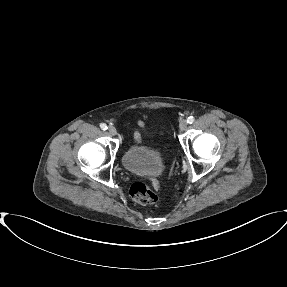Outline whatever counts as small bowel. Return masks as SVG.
<instances>
[{
	"instance_id": "small-bowel-1",
	"label": "small bowel",
	"mask_w": 287,
	"mask_h": 287,
	"mask_svg": "<svg viewBox=\"0 0 287 287\" xmlns=\"http://www.w3.org/2000/svg\"><path fill=\"white\" fill-rule=\"evenodd\" d=\"M140 126L142 127V124H140ZM134 139H135L136 142H140V140H141V133L139 131L135 132Z\"/></svg>"
}]
</instances>
